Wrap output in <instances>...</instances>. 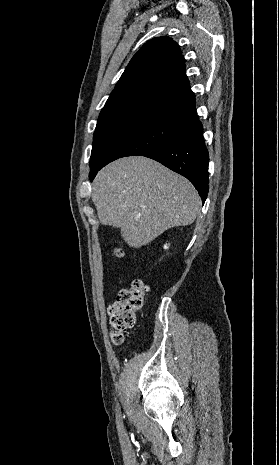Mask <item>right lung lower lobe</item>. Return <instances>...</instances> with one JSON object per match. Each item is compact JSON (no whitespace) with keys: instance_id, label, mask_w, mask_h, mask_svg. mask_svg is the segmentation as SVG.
I'll list each match as a JSON object with an SVG mask.
<instances>
[{"instance_id":"right-lung-lower-lobe-1","label":"right lung lower lobe","mask_w":279,"mask_h":465,"mask_svg":"<svg viewBox=\"0 0 279 465\" xmlns=\"http://www.w3.org/2000/svg\"><path fill=\"white\" fill-rule=\"evenodd\" d=\"M142 156L156 160L186 177L198 190L202 202H205L209 189V156L204 143L203 127L196 112L180 122L169 140ZM101 168L91 171L90 180Z\"/></svg>"}]
</instances>
